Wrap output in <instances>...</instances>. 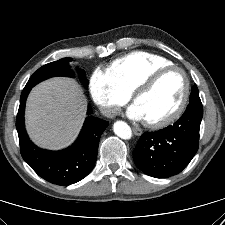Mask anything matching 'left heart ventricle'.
I'll list each match as a JSON object with an SVG mask.
<instances>
[{"mask_svg":"<svg viewBox=\"0 0 225 225\" xmlns=\"http://www.w3.org/2000/svg\"><path fill=\"white\" fill-rule=\"evenodd\" d=\"M183 77L178 71L163 75L145 94L135 100L144 120L154 121L171 113L183 95Z\"/></svg>","mask_w":225,"mask_h":225,"instance_id":"1","label":"left heart ventricle"}]
</instances>
